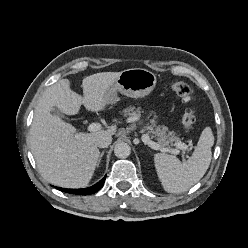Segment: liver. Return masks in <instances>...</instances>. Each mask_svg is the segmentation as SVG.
<instances>
[{"label": "liver", "mask_w": 248, "mask_h": 248, "mask_svg": "<svg viewBox=\"0 0 248 248\" xmlns=\"http://www.w3.org/2000/svg\"><path fill=\"white\" fill-rule=\"evenodd\" d=\"M120 73L101 72L84 78L83 98L71 90L68 79H61L44 91L35 108L30 145L38 170L49 183L64 188L87 186L100 157L96 139L112 136L117 129L112 125L107 130L78 133L51 111L58 109L75 115L82 104L89 111L103 110L107 105L105 94Z\"/></svg>", "instance_id": "liver-1"}]
</instances>
